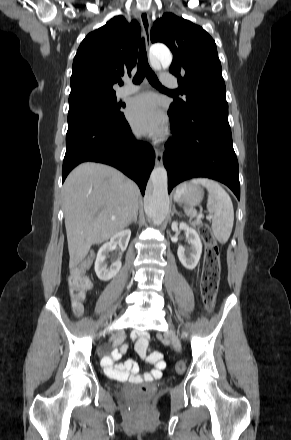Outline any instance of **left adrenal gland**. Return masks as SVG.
Returning <instances> with one entry per match:
<instances>
[{"instance_id":"a2214340","label":"left adrenal gland","mask_w":291,"mask_h":440,"mask_svg":"<svg viewBox=\"0 0 291 440\" xmlns=\"http://www.w3.org/2000/svg\"><path fill=\"white\" fill-rule=\"evenodd\" d=\"M174 213L179 214V213L177 212V210L175 209V207H174V209H173V213H172V215H173Z\"/></svg>"}]
</instances>
